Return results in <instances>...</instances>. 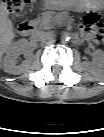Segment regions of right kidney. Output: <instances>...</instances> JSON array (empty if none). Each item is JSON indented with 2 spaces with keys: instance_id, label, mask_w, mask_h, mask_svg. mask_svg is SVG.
<instances>
[{
  "instance_id": "ca27d5eb",
  "label": "right kidney",
  "mask_w": 104,
  "mask_h": 137,
  "mask_svg": "<svg viewBox=\"0 0 104 137\" xmlns=\"http://www.w3.org/2000/svg\"><path fill=\"white\" fill-rule=\"evenodd\" d=\"M28 52H29V46L27 40L21 39L15 42L7 50V53L2 60V66L4 71L15 75L22 73L26 64L17 66L16 59L20 54L28 53Z\"/></svg>"
}]
</instances>
